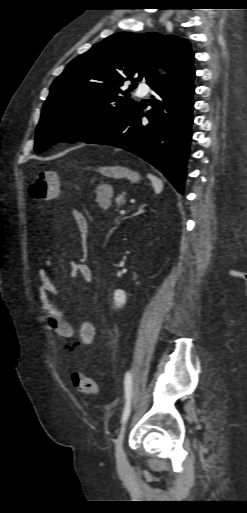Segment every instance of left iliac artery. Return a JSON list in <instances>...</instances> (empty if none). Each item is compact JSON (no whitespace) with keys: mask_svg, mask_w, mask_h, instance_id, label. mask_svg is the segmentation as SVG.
<instances>
[{"mask_svg":"<svg viewBox=\"0 0 247 513\" xmlns=\"http://www.w3.org/2000/svg\"><path fill=\"white\" fill-rule=\"evenodd\" d=\"M124 389H125V406L122 413V421H125L131 411V398H132V374L130 371L126 372L124 378Z\"/></svg>","mask_w":247,"mask_h":513,"instance_id":"1","label":"left iliac artery"}]
</instances>
